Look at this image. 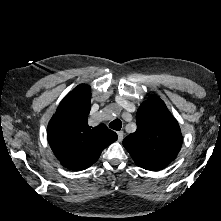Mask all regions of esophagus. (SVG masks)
Listing matches in <instances>:
<instances>
[{
	"instance_id": "obj_1",
	"label": "esophagus",
	"mask_w": 221,
	"mask_h": 221,
	"mask_svg": "<svg viewBox=\"0 0 221 221\" xmlns=\"http://www.w3.org/2000/svg\"><path fill=\"white\" fill-rule=\"evenodd\" d=\"M117 135H118V140L121 142L123 140L124 132L123 131H118Z\"/></svg>"
}]
</instances>
